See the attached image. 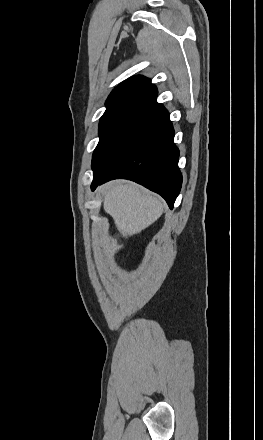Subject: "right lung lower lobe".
<instances>
[{
    "instance_id": "1",
    "label": "right lung lower lobe",
    "mask_w": 263,
    "mask_h": 440,
    "mask_svg": "<svg viewBox=\"0 0 263 440\" xmlns=\"http://www.w3.org/2000/svg\"><path fill=\"white\" fill-rule=\"evenodd\" d=\"M168 111L161 112L141 137L102 178H93L92 191L107 181L123 178L135 181L160 194L172 209L180 192L182 175L179 150Z\"/></svg>"
}]
</instances>
